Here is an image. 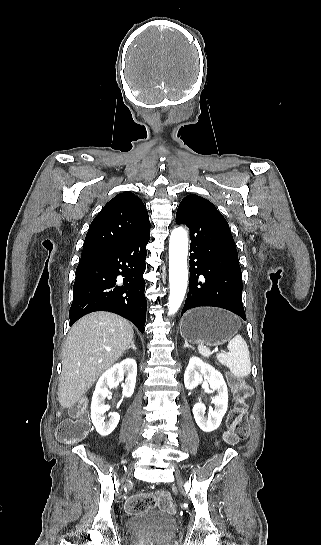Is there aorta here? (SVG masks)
Wrapping results in <instances>:
<instances>
[{"label": "aorta", "mask_w": 321, "mask_h": 545, "mask_svg": "<svg viewBox=\"0 0 321 545\" xmlns=\"http://www.w3.org/2000/svg\"><path fill=\"white\" fill-rule=\"evenodd\" d=\"M188 236L183 227L174 228L169 239L168 315L175 314L186 294L188 283Z\"/></svg>", "instance_id": "762f6f07"}]
</instances>
